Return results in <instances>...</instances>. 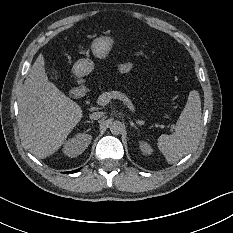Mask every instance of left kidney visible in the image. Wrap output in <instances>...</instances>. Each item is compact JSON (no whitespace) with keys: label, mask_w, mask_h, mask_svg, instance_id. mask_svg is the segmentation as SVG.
Here are the masks:
<instances>
[{"label":"left kidney","mask_w":233,"mask_h":233,"mask_svg":"<svg viewBox=\"0 0 233 233\" xmlns=\"http://www.w3.org/2000/svg\"><path fill=\"white\" fill-rule=\"evenodd\" d=\"M139 148L143 155H151L153 153V149L150 144L146 141H139Z\"/></svg>","instance_id":"5707ae66"}]
</instances>
